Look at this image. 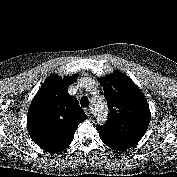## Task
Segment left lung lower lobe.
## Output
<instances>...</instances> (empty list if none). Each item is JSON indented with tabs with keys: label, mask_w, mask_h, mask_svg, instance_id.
<instances>
[{
	"label": "left lung lower lobe",
	"mask_w": 177,
	"mask_h": 177,
	"mask_svg": "<svg viewBox=\"0 0 177 177\" xmlns=\"http://www.w3.org/2000/svg\"><path fill=\"white\" fill-rule=\"evenodd\" d=\"M107 146L118 151H124L129 149L128 147H124V145L122 144H107Z\"/></svg>",
	"instance_id": "1"
}]
</instances>
